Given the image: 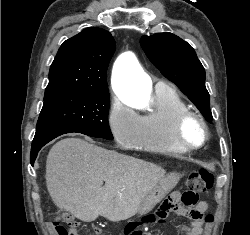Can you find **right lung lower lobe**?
<instances>
[{
  "instance_id": "obj_1",
  "label": "right lung lower lobe",
  "mask_w": 250,
  "mask_h": 235,
  "mask_svg": "<svg viewBox=\"0 0 250 235\" xmlns=\"http://www.w3.org/2000/svg\"><path fill=\"white\" fill-rule=\"evenodd\" d=\"M72 132H79L71 128L67 127H49V128H43L40 130H36L33 142H32V147H31V164H34V161L37 157V154L39 150L48 142L53 140L54 138L66 134V133H72ZM82 133V132H79ZM85 134V133H83ZM88 136H93L86 134ZM95 137V136H93Z\"/></svg>"
}]
</instances>
